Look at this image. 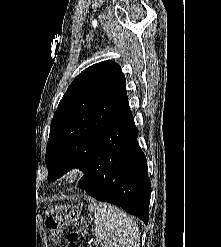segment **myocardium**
<instances>
[{
	"label": "myocardium",
	"instance_id": "f54148a6",
	"mask_svg": "<svg viewBox=\"0 0 221 247\" xmlns=\"http://www.w3.org/2000/svg\"><path fill=\"white\" fill-rule=\"evenodd\" d=\"M83 168L79 165H72L65 173L64 180L66 183L72 185L79 182L83 177Z\"/></svg>",
	"mask_w": 221,
	"mask_h": 247
}]
</instances>
